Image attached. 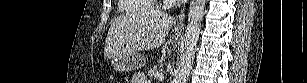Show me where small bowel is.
Masks as SVG:
<instances>
[{
	"label": "small bowel",
	"instance_id": "small-bowel-1",
	"mask_svg": "<svg viewBox=\"0 0 307 83\" xmlns=\"http://www.w3.org/2000/svg\"><path fill=\"white\" fill-rule=\"evenodd\" d=\"M133 83H148L147 80L145 79L144 75L142 73H136L133 76Z\"/></svg>",
	"mask_w": 307,
	"mask_h": 83
}]
</instances>
